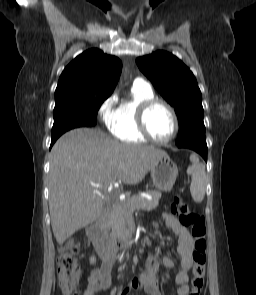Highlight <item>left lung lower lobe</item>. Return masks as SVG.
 Returning <instances> with one entry per match:
<instances>
[{
	"mask_svg": "<svg viewBox=\"0 0 256 295\" xmlns=\"http://www.w3.org/2000/svg\"><path fill=\"white\" fill-rule=\"evenodd\" d=\"M179 148H188L199 153L207 161V144L206 140H194L176 144Z\"/></svg>",
	"mask_w": 256,
	"mask_h": 295,
	"instance_id": "left-lung-lower-lobe-1",
	"label": "left lung lower lobe"
}]
</instances>
